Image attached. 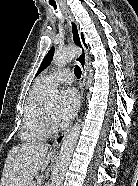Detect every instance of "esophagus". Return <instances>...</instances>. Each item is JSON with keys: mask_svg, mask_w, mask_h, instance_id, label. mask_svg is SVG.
I'll return each mask as SVG.
<instances>
[{"mask_svg": "<svg viewBox=\"0 0 138 186\" xmlns=\"http://www.w3.org/2000/svg\"><path fill=\"white\" fill-rule=\"evenodd\" d=\"M60 5L62 7L63 13L66 16L69 27H70L72 42L74 43V45L77 47V49L79 51L78 56L76 58V63L80 66V68L82 70V77L80 79V90H81V94H83L85 80H86V74H87V64H88L87 52H86V49H85L82 39H81L78 24L76 23V21L74 20L73 16L68 11V9L64 5V3L61 2ZM67 133H68V130L65 131L64 133L58 135L55 138L54 143H53L54 148H58L61 146Z\"/></svg>", "mask_w": 138, "mask_h": 186, "instance_id": "esophagus-1", "label": "esophagus"}]
</instances>
